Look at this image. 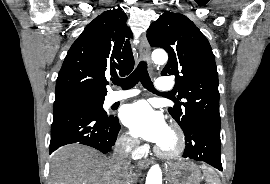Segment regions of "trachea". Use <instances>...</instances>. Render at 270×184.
Masks as SVG:
<instances>
[{
	"label": "trachea",
	"mask_w": 270,
	"mask_h": 184,
	"mask_svg": "<svg viewBox=\"0 0 270 184\" xmlns=\"http://www.w3.org/2000/svg\"><path fill=\"white\" fill-rule=\"evenodd\" d=\"M139 81H141V84L147 90L154 93H158L154 89L153 83L147 71V64L144 61L140 62L137 68L128 77L124 79H121V78L115 79L113 80V83L121 86L122 89L127 90L134 87ZM164 95L169 96L168 94H164Z\"/></svg>",
	"instance_id": "obj_1"
}]
</instances>
